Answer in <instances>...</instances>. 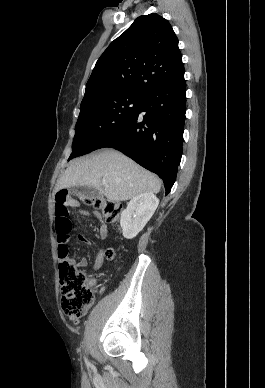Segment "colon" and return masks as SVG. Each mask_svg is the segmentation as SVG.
Instances as JSON below:
<instances>
[{
    "label": "colon",
    "instance_id": "obj_1",
    "mask_svg": "<svg viewBox=\"0 0 265 388\" xmlns=\"http://www.w3.org/2000/svg\"><path fill=\"white\" fill-rule=\"evenodd\" d=\"M84 202L100 211L108 223L116 222L122 212V205L116 201L94 197ZM70 197L65 190L56 194L55 225L57 233V255L59 259V280L61 286V305L64 313L72 320L81 318L94 300L92 286L84 271L72 264L68 258V239L72 230L69 212ZM106 256L113 258V250H107Z\"/></svg>",
    "mask_w": 265,
    "mask_h": 388
}]
</instances>
